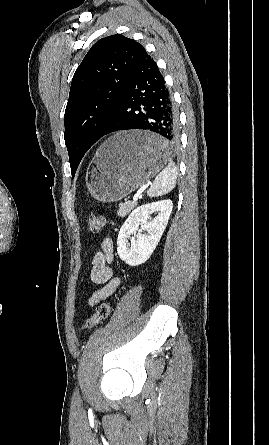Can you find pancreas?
Here are the masks:
<instances>
[{
	"label": "pancreas",
	"mask_w": 269,
	"mask_h": 445,
	"mask_svg": "<svg viewBox=\"0 0 269 445\" xmlns=\"http://www.w3.org/2000/svg\"><path fill=\"white\" fill-rule=\"evenodd\" d=\"M137 203L135 201L133 202H124L119 205L118 209V216L119 217H125L133 208H135Z\"/></svg>",
	"instance_id": "1"
}]
</instances>
